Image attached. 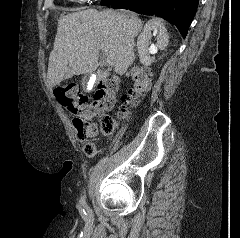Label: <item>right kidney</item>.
<instances>
[{"label": "right kidney", "instance_id": "1", "mask_svg": "<svg viewBox=\"0 0 240 238\" xmlns=\"http://www.w3.org/2000/svg\"><path fill=\"white\" fill-rule=\"evenodd\" d=\"M157 33V47L160 50H164L169 42V36L167 29L160 19L153 18L149 20L137 39V48L139 53L140 62L144 66H150L154 62V57H150L148 54L149 40L151 39V33ZM157 47H150L149 52L155 54Z\"/></svg>", "mask_w": 240, "mask_h": 238}]
</instances>
